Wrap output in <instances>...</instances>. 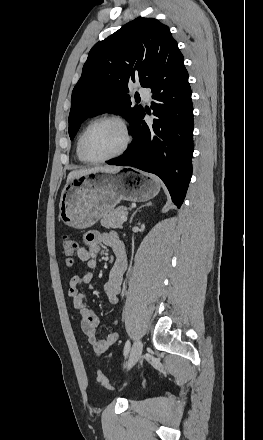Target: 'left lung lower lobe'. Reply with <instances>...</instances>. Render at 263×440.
<instances>
[{
  "label": "left lung lower lobe",
  "instance_id": "1",
  "mask_svg": "<svg viewBox=\"0 0 263 440\" xmlns=\"http://www.w3.org/2000/svg\"><path fill=\"white\" fill-rule=\"evenodd\" d=\"M147 88L152 89L155 101L151 109L156 118L147 124L143 110L132 124L134 140L129 149L107 163L156 174L180 208L192 176L193 106L188 73L178 47Z\"/></svg>",
  "mask_w": 263,
  "mask_h": 440
}]
</instances>
